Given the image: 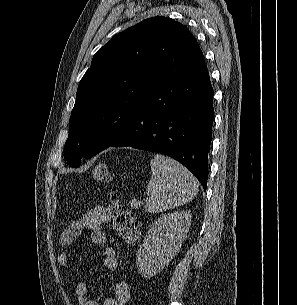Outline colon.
Returning <instances> with one entry per match:
<instances>
[{
	"label": "colon",
	"mask_w": 297,
	"mask_h": 305,
	"mask_svg": "<svg viewBox=\"0 0 297 305\" xmlns=\"http://www.w3.org/2000/svg\"><path fill=\"white\" fill-rule=\"evenodd\" d=\"M93 179L96 183L107 184L110 181V173L104 162H99L93 169ZM107 210L113 221L114 229L128 243L133 244L138 240V224L134 220L132 212L125 208L110 193L107 196Z\"/></svg>",
	"instance_id": "1"
}]
</instances>
